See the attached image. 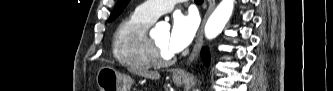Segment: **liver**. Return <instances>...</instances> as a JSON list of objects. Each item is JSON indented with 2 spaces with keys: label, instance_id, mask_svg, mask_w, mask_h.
<instances>
[{
  "label": "liver",
  "instance_id": "obj_1",
  "mask_svg": "<svg viewBox=\"0 0 333 91\" xmlns=\"http://www.w3.org/2000/svg\"><path fill=\"white\" fill-rule=\"evenodd\" d=\"M138 76L152 79V80H158L160 78V74L157 71H147V70H135L133 71Z\"/></svg>",
  "mask_w": 333,
  "mask_h": 91
}]
</instances>
